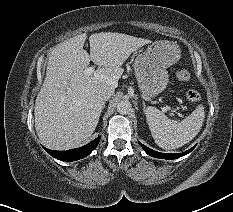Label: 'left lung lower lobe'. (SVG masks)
Listing matches in <instances>:
<instances>
[{"label": "left lung lower lobe", "mask_w": 233, "mask_h": 212, "mask_svg": "<svg viewBox=\"0 0 233 212\" xmlns=\"http://www.w3.org/2000/svg\"><path fill=\"white\" fill-rule=\"evenodd\" d=\"M139 144L148 155L155 157V158H162V159H168V160L182 157V156L190 153L195 148V146H194L191 149L185 151L184 153L169 154V153H160V152L154 151V150L146 147L145 145L141 144L140 142H139Z\"/></svg>", "instance_id": "left-lung-lower-lobe-1"}]
</instances>
